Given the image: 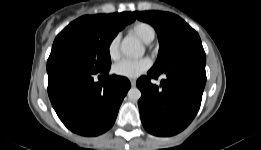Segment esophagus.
I'll return each mask as SVG.
<instances>
[{"mask_svg":"<svg viewBox=\"0 0 261 150\" xmlns=\"http://www.w3.org/2000/svg\"><path fill=\"white\" fill-rule=\"evenodd\" d=\"M130 83L132 87H135L136 85V80L135 79H130Z\"/></svg>","mask_w":261,"mask_h":150,"instance_id":"obj_1","label":"esophagus"}]
</instances>
